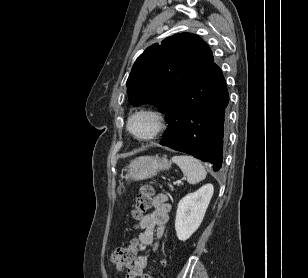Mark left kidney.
I'll return each instance as SVG.
<instances>
[{
    "mask_svg": "<svg viewBox=\"0 0 308 278\" xmlns=\"http://www.w3.org/2000/svg\"><path fill=\"white\" fill-rule=\"evenodd\" d=\"M214 192L212 184H206L194 193L183 197L177 207L175 230L180 241H186L199 228Z\"/></svg>",
    "mask_w": 308,
    "mask_h": 278,
    "instance_id": "left-kidney-1",
    "label": "left kidney"
}]
</instances>
